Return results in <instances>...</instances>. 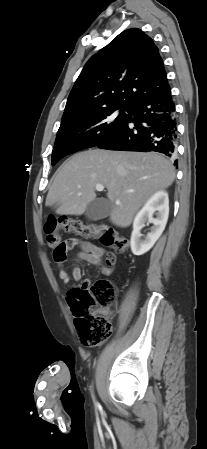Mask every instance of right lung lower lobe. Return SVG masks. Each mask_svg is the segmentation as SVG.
Returning <instances> with one entry per match:
<instances>
[{
  "label": "right lung lower lobe",
  "instance_id": "right-lung-lower-lobe-1",
  "mask_svg": "<svg viewBox=\"0 0 207 449\" xmlns=\"http://www.w3.org/2000/svg\"><path fill=\"white\" fill-rule=\"evenodd\" d=\"M131 114L136 119L133 120ZM132 121L134 125L130 124ZM176 140L175 104L169 89L133 106L126 123L97 146L107 150L155 151L173 158L176 154Z\"/></svg>",
  "mask_w": 207,
  "mask_h": 449
}]
</instances>
